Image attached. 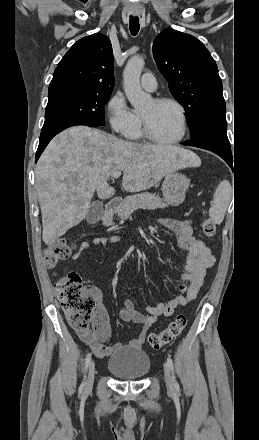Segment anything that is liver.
<instances>
[{
  "label": "liver",
  "instance_id": "liver-1",
  "mask_svg": "<svg viewBox=\"0 0 259 440\" xmlns=\"http://www.w3.org/2000/svg\"><path fill=\"white\" fill-rule=\"evenodd\" d=\"M200 158L174 145L138 144L87 126H75L56 135L41 155L35 185L42 214V239L48 246L78 225L92 198L115 194L107 180L123 171L127 192L147 190L166 174L198 167Z\"/></svg>",
  "mask_w": 259,
  "mask_h": 440
}]
</instances>
